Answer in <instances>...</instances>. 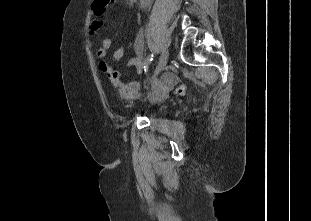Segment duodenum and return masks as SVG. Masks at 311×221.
<instances>
[{
  "instance_id": "410a0bca",
  "label": "duodenum",
  "mask_w": 311,
  "mask_h": 221,
  "mask_svg": "<svg viewBox=\"0 0 311 221\" xmlns=\"http://www.w3.org/2000/svg\"><path fill=\"white\" fill-rule=\"evenodd\" d=\"M151 0H138L139 5L141 8L145 7L147 4L150 3Z\"/></svg>"
}]
</instances>
